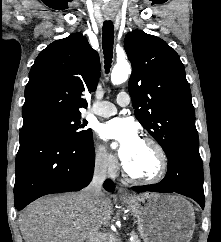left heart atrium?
Listing matches in <instances>:
<instances>
[{
  "label": "left heart atrium",
  "mask_w": 221,
  "mask_h": 242,
  "mask_svg": "<svg viewBox=\"0 0 221 242\" xmlns=\"http://www.w3.org/2000/svg\"><path fill=\"white\" fill-rule=\"evenodd\" d=\"M99 136L116 145L120 158L126 162L142 142L135 124L128 119H112L98 129Z\"/></svg>",
  "instance_id": "39dd6f15"
}]
</instances>
